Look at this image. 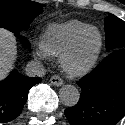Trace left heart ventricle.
Returning a JSON list of instances; mask_svg holds the SVG:
<instances>
[{"label": "left heart ventricle", "instance_id": "b2bd125f", "mask_svg": "<svg viewBox=\"0 0 125 125\" xmlns=\"http://www.w3.org/2000/svg\"><path fill=\"white\" fill-rule=\"evenodd\" d=\"M99 44V36L95 30L86 31L69 57V63L74 67H80L86 64Z\"/></svg>", "mask_w": 125, "mask_h": 125}]
</instances>
